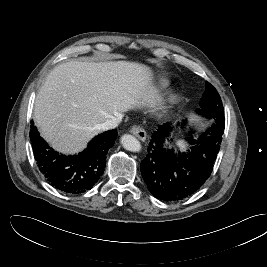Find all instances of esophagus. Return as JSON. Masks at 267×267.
<instances>
[{
  "label": "esophagus",
  "instance_id": "obj_1",
  "mask_svg": "<svg viewBox=\"0 0 267 267\" xmlns=\"http://www.w3.org/2000/svg\"><path fill=\"white\" fill-rule=\"evenodd\" d=\"M130 133L133 134L135 137H137L141 141H145L146 140V132L140 126H137V125L132 126L130 128Z\"/></svg>",
  "mask_w": 267,
  "mask_h": 267
}]
</instances>
